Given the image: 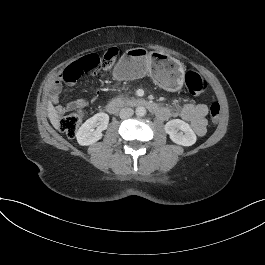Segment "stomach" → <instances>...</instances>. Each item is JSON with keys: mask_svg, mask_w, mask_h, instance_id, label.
Masks as SVG:
<instances>
[{"mask_svg": "<svg viewBox=\"0 0 265 265\" xmlns=\"http://www.w3.org/2000/svg\"><path fill=\"white\" fill-rule=\"evenodd\" d=\"M184 71L182 63L168 54L134 48L122 55L115 68V75L120 80L150 75L162 88L178 91L183 85Z\"/></svg>", "mask_w": 265, "mask_h": 265, "instance_id": "stomach-1", "label": "stomach"}]
</instances>
